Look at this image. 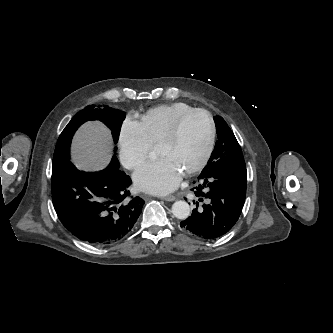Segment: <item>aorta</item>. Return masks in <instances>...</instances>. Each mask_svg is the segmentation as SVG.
Listing matches in <instances>:
<instances>
[{"label": "aorta", "mask_w": 333, "mask_h": 333, "mask_svg": "<svg viewBox=\"0 0 333 333\" xmlns=\"http://www.w3.org/2000/svg\"><path fill=\"white\" fill-rule=\"evenodd\" d=\"M172 213L178 219H186L190 215V206L185 201H176L172 205Z\"/></svg>", "instance_id": "obj_1"}]
</instances>
